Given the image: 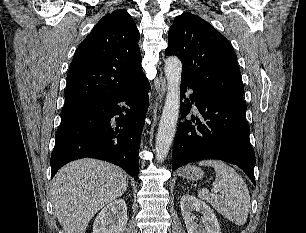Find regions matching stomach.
Masks as SVG:
<instances>
[{"label": "stomach", "mask_w": 306, "mask_h": 233, "mask_svg": "<svg viewBox=\"0 0 306 233\" xmlns=\"http://www.w3.org/2000/svg\"><path fill=\"white\" fill-rule=\"evenodd\" d=\"M180 175L190 181H197L203 177V171L192 165L185 166L182 170Z\"/></svg>", "instance_id": "obj_1"}]
</instances>
